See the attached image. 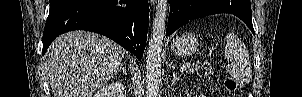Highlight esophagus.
Instances as JSON below:
<instances>
[{
	"label": "esophagus",
	"mask_w": 302,
	"mask_h": 97,
	"mask_svg": "<svg viewBox=\"0 0 302 97\" xmlns=\"http://www.w3.org/2000/svg\"><path fill=\"white\" fill-rule=\"evenodd\" d=\"M150 2H151L152 4H155L157 1H156V0H150Z\"/></svg>",
	"instance_id": "1"
}]
</instances>
